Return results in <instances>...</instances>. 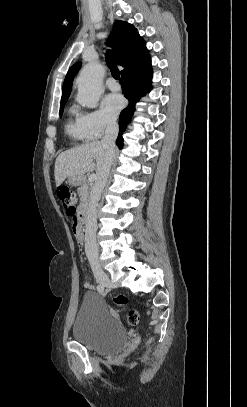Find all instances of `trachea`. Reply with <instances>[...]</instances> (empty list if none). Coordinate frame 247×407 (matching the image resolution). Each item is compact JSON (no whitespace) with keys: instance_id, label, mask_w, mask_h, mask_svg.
Here are the masks:
<instances>
[{"instance_id":"obj_1","label":"trachea","mask_w":247,"mask_h":407,"mask_svg":"<svg viewBox=\"0 0 247 407\" xmlns=\"http://www.w3.org/2000/svg\"><path fill=\"white\" fill-rule=\"evenodd\" d=\"M106 62H107L108 67L110 68V71H111V74H112L113 78H115L116 80H119L120 79V72H119V69L116 66V63H115L114 59H113V55H112L111 50H107Z\"/></svg>"}]
</instances>
